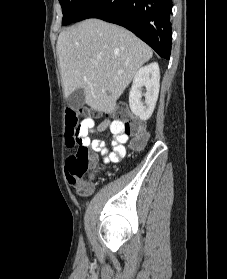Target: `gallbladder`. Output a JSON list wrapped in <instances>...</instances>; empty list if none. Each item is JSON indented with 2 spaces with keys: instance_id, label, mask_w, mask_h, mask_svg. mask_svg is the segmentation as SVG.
<instances>
[{
  "instance_id": "bac80fb5",
  "label": "gallbladder",
  "mask_w": 227,
  "mask_h": 279,
  "mask_svg": "<svg viewBox=\"0 0 227 279\" xmlns=\"http://www.w3.org/2000/svg\"><path fill=\"white\" fill-rule=\"evenodd\" d=\"M85 103V94L83 89L78 88L67 98V104L71 109L78 110Z\"/></svg>"
}]
</instances>
